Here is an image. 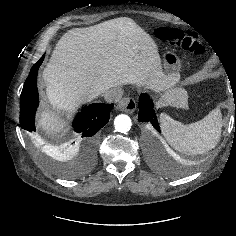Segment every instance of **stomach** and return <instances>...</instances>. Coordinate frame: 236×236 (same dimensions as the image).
Returning <instances> with one entry per match:
<instances>
[{"label": "stomach", "mask_w": 236, "mask_h": 236, "mask_svg": "<svg viewBox=\"0 0 236 236\" xmlns=\"http://www.w3.org/2000/svg\"><path fill=\"white\" fill-rule=\"evenodd\" d=\"M162 67L165 75L170 78L174 83L180 78V60L178 56L172 51H166L162 55ZM181 94L184 99H187V95L185 91L181 90Z\"/></svg>", "instance_id": "1"}]
</instances>
